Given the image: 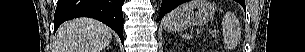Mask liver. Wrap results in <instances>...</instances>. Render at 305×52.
I'll list each match as a JSON object with an SVG mask.
<instances>
[{
  "mask_svg": "<svg viewBox=\"0 0 305 52\" xmlns=\"http://www.w3.org/2000/svg\"><path fill=\"white\" fill-rule=\"evenodd\" d=\"M112 40V31L103 23L79 18L63 23L57 31L55 52H101Z\"/></svg>",
  "mask_w": 305,
  "mask_h": 52,
  "instance_id": "1",
  "label": "liver"
}]
</instances>
